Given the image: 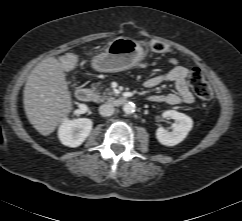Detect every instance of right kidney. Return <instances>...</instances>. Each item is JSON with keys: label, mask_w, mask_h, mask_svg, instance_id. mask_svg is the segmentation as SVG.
Here are the masks:
<instances>
[{"label": "right kidney", "mask_w": 242, "mask_h": 221, "mask_svg": "<svg viewBox=\"0 0 242 221\" xmlns=\"http://www.w3.org/2000/svg\"><path fill=\"white\" fill-rule=\"evenodd\" d=\"M92 124V121L88 118L63 119V123L58 130V137L62 144L69 147H78L89 136Z\"/></svg>", "instance_id": "ca27d5eb"}]
</instances>
